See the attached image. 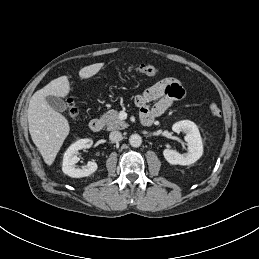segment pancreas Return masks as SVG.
I'll return each instance as SVG.
<instances>
[{
    "label": "pancreas",
    "instance_id": "pancreas-1",
    "mask_svg": "<svg viewBox=\"0 0 259 259\" xmlns=\"http://www.w3.org/2000/svg\"><path fill=\"white\" fill-rule=\"evenodd\" d=\"M101 120L107 126V130L124 129L128 127V124L119 118V112L117 110H111L102 115Z\"/></svg>",
    "mask_w": 259,
    "mask_h": 259
}]
</instances>
